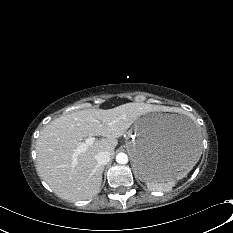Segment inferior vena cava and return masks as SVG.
Wrapping results in <instances>:
<instances>
[{"mask_svg":"<svg viewBox=\"0 0 233 233\" xmlns=\"http://www.w3.org/2000/svg\"><path fill=\"white\" fill-rule=\"evenodd\" d=\"M111 154L108 151H101L95 155L99 165H106L110 161Z\"/></svg>","mask_w":233,"mask_h":233,"instance_id":"obj_1","label":"inferior vena cava"}]
</instances>
